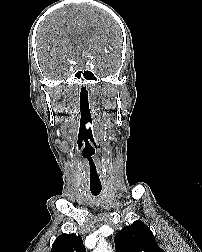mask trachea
<instances>
[{
  "instance_id": "trachea-1",
  "label": "trachea",
  "mask_w": 202,
  "mask_h": 252,
  "mask_svg": "<svg viewBox=\"0 0 202 252\" xmlns=\"http://www.w3.org/2000/svg\"><path fill=\"white\" fill-rule=\"evenodd\" d=\"M91 193L94 196H98L101 192V188L100 187H90Z\"/></svg>"
}]
</instances>
